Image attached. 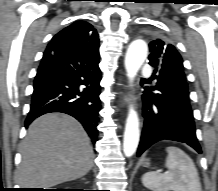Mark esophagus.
Instances as JSON below:
<instances>
[{"label": "esophagus", "instance_id": "esophagus-1", "mask_svg": "<svg viewBox=\"0 0 218 191\" xmlns=\"http://www.w3.org/2000/svg\"><path fill=\"white\" fill-rule=\"evenodd\" d=\"M122 101H123V104L124 105H127L128 101H129V97H128V94H127V91H125L122 95Z\"/></svg>", "mask_w": 218, "mask_h": 191}]
</instances>
